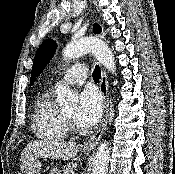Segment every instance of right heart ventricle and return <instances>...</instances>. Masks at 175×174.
Wrapping results in <instances>:
<instances>
[{"label": "right heart ventricle", "mask_w": 175, "mask_h": 174, "mask_svg": "<svg viewBox=\"0 0 175 174\" xmlns=\"http://www.w3.org/2000/svg\"><path fill=\"white\" fill-rule=\"evenodd\" d=\"M32 128L34 134L42 140L57 141L66 137V124L51 92H43L35 101Z\"/></svg>", "instance_id": "e07e8e85"}]
</instances>
